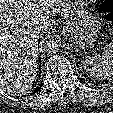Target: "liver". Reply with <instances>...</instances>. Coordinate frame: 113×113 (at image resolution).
I'll return each mask as SVG.
<instances>
[{
	"mask_svg": "<svg viewBox=\"0 0 113 113\" xmlns=\"http://www.w3.org/2000/svg\"><path fill=\"white\" fill-rule=\"evenodd\" d=\"M62 0H0V88L27 94L37 72L38 37Z\"/></svg>",
	"mask_w": 113,
	"mask_h": 113,
	"instance_id": "liver-1",
	"label": "liver"
}]
</instances>
